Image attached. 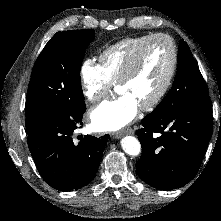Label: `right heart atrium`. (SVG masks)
I'll return each mask as SVG.
<instances>
[{"label":"right heart atrium","instance_id":"d8ad5b80","mask_svg":"<svg viewBox=\"0 0 221 221\" xmlns=\"http://www.w3.org/2000/svg\"><path fill=\"white\" fill-rule=\"evenodd\" d=\"M82 92L90 103L101 101L110 91L113 83L108 79L99 64L86 59L80 68Z\"/></svg>","mask_w":221,"mask_h":221}]
</instances>
